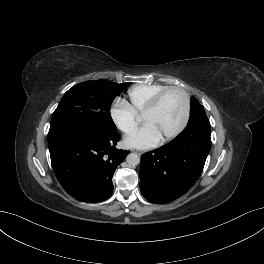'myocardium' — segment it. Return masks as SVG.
Wrapping results in <instances>:
<instances>
[{
    "label": "myocardium",
    "mask_w": 264,
    "mask_h": 264,
    "mask_svg": "<svg viewBox=\"0 0 264 264\" xmlns=\"http://www.w3.org/2000/svg\"><path fill=\"white\" fill-rule=\"evenodd\" d=\"M171 91H178L182 94L183 99H184V107H183V116L182 120L179 124V126L170 134L164 136L162 138V142H168L176 137H178L186 128L189 116H190V97L188 92L179 86H168L167 88L163 89L160 91L153 99L152 101L148 104V106L145 108V110L142 113V117L146 116L147 114L155 111L160 103L162 102L163 98Z\"/></svg>",
    "instance_id": "f54148a6"
}]
</instances>
